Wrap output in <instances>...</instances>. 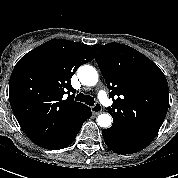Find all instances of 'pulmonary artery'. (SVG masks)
<instances>
[{
    "label": "pulmonary artery",
    "instance_id": "pulmonary-artery-1",
    "mask_svg": "<svg viewBox=\"0 0 178 178\" xmlns=\"http://www.w3.org/2000/svg\"><path fill=\"white\" fill-rule=\"evenodd\" d=\"M98 97H99L100 102H101L104 106H106V107H110V106H111V102H110V100L108 99V96H107V94H106L104 91H100V92L98 93Z\"/></svg>",
    "mask_w": 178,
    "mask_h": 178
}]
</instances>
